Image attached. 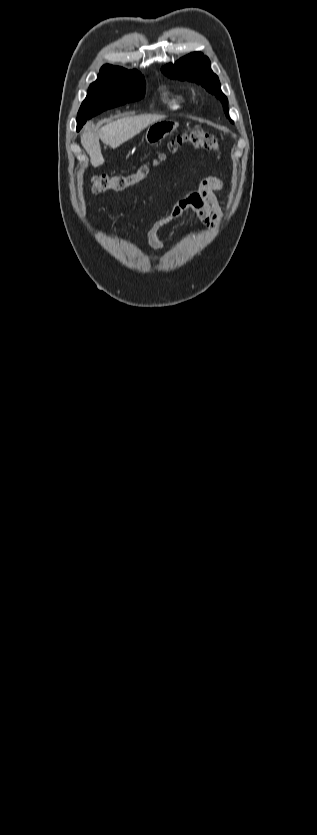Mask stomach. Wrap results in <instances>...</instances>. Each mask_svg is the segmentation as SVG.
Listing matches in <instances>:
<instances>
[{
    "label": "stomach",
    "instance_id": "0dacf381",
    "mask_svg": "<svg viewBox=\"0 0 317 835\" xmlns=\"http://www.w3.org/2000/svg\"><path fill=\"white\" fill-rule=\"evenodd\" d=\"M179 124L173 120H162L151 124L146 131V142L150 146H156L167 136L172 134Z\"/></svg>",
    "mask_w": 317,
    "mask_h": 835
}]
</instances>
